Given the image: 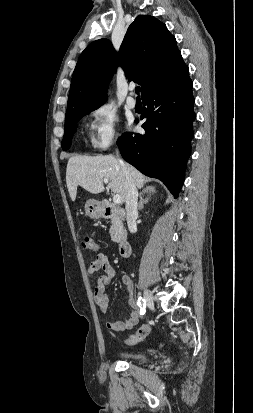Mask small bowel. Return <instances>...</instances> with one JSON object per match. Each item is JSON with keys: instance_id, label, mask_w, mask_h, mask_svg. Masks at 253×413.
I'll use <instances>...</instances> for the list:
<instances>
[{"instance_id": "1", "label": "small bowel", "mask_w": 253, "mask_h": 413, "mask_svg": "<svg viewBox=\"0 0 253 413\" xmlns=\"http://www.w3.org/2000/svg\"><path fill=\"white\" fill-rule=\"evenodd\" d=\"M100 272L102 274L98 277L97 285L94 289V300L99 310L102 313H105L109 308V298L105 293V287L115 276V270L111 266L107 256L103 252L97 254L95 260L91 262L87 270V273L90 277H95ZM122 283L129 293L128 306L130 313L129 317L124 321L106 322V328L115 332H124L130 330L139 321V310L131 296L133 281L130 276L124 275L122 277Z\"/></svg>"}]
</instances>
